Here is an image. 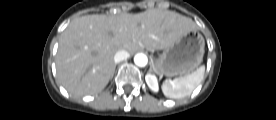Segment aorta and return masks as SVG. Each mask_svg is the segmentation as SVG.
I'll list each match as a JSON object with an SVG mask.
<instances>
[{
	"instance_id": "aorta-1",
	"label": "aorta",
	"mask_w": 276,
	"mask_h": 120,
	"mask_svg": "<svg viewBox=\"0 0 276 120\" xmlns=\"http://www.w3.org/2000/svg\"><path fill=\"white\" fill-rule=\"evenodd\" d=\"M134 63L139 67H145L148 63V58L143 53H137L134 57Z\"/></svg>"
}]
</instances>
